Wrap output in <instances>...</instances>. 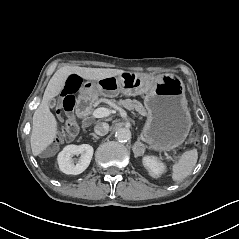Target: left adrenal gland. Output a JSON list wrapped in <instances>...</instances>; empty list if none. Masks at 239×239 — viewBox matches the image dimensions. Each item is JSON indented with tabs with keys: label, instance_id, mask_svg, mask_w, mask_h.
I'll use <instances>...</instances> for the list:
<instances>
[{
	"label": "left adrenal gland",
	"instance_id": "obj_1",
	"mask_svg": "<svg viewBox=\"0 0 239 239\" xmlns=\"http://www.w3.org/2000/svg\"><path fill=\"white\" fill-rule=\"evenodd\" d=\"M141 145H142V144L140 143L139 139L137 140L136 143H134V145H133V147H132V150H133L134 154L137 153V148H138V146H141Z\"/></svg>",
	"mask_w": 239,
	"mask_h": 239
}]
</instances>
